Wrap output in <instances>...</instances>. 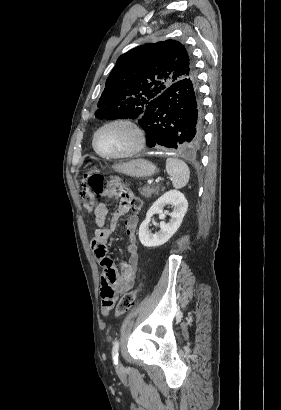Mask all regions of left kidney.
I'll return each instance as SVG.
<instances>
[{"mask_svg": "<svg viewBox=\"0 0 281 410\" xmlns=\"http://www.w3.org/2000/svg\"><path fill=\"white\" fill-rule=\"evenodd\" d=\"M171 205L173 207L170 213L171 219L168 223L164 221L166 213H163V207ZM188 202L183 193L177 190H170L158 198L147 211L145 220L139 227V240L145 247H158L166 243L180 227L183 217L187 212ZM154 214H159L160 230L155 234L149 230V223Z\"/></svg>", "mask_w": 281, "mask_h": 410, "instance_id": "left-kidney-1", "label": "left kidney"}]
</instances>
